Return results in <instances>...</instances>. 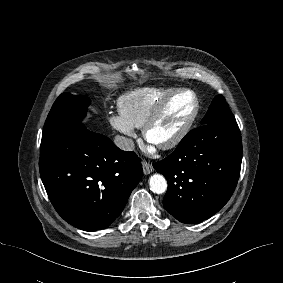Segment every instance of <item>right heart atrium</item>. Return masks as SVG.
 Returning <instances> with one entry per match:
<instances>
[{
    "label": "right heart atrium",
    "mask_w": 283,
    "mask_h": 283,
    "mask_svg": "<svg viewBox=\"0 0 283 283\" xmlns=\"http://www.w3.org/2000/svg\"><path fill=\"white\" fill-rule=\"evenodd\" d=\"M109 122L114 129L132 139L136 136L134 127L130 125L120 113H113L109 116Z\"/></svg>",
    "instance_id": "d8ad5b80"
}]
</instances>
